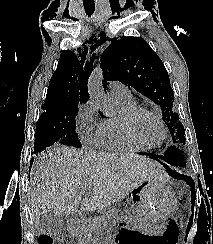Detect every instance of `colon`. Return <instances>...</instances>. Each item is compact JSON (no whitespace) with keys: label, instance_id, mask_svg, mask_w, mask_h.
Segmentation results:
<instances>
[{"label":"colon","instance_id":"5ec220e1","mask_svg":"<svg viewBox=\"0 0 213 244\" xmlns=\"http://www.w3.org/2000/svg\"><path fill=\"white\" fill-rule=\"evenodd\" d=\"M38 244H53V239L51 236L44 235L39 238Z\"/></svg>","mask_w":213,"mask_h":244}]
</instances>
